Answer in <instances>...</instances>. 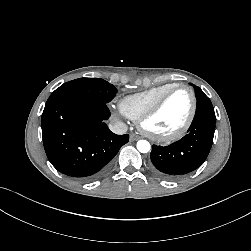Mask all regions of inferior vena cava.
I'll use <instances>...</instances> for the list:
<instances>
[{"instance_id":"602c4592","label":"inferior vena cava","mask_w":251,"mask_h":251,"mask_svg":"<svg viewBox=\"0 0 251 251\" xmlns=\"http://www.w3.org/2000/svg\"><path fill=\"white\" fill-rule=\"evenodd\" d=\"M109 129L115 134L122 135L127 132L128 127L121 121H112L109 124Z\"/></svg>"}]
</instances>
